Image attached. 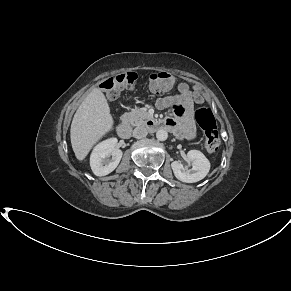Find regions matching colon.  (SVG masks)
I'll return each mask as SVG.
<instances>
[{"instance_id": "1", "label": "colon", "mask_w": 291, "mask_h": 291, "mask_svg": "<svg viewBox=\"0 0 291 291\" xmlns=\"http://www.w3.org/2000/svg\"><path fill=\"white\" fill-rule=\"evenodd\" d=\"M137 79L138 76L133 72L118 74L106 79L101 84V89L109 99H116L121 90L133 89ZM177 79L178 77L170 72H154L148 76V87L152 92L160 93L170 90ZM195 118L204 132L205 148L210 152L216 151L219 147V134L212 112L207 108L198 107L195 112Z\"/></svg>"}]
</instances>
